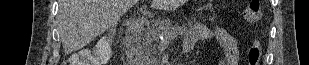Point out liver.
Wrapping results in <instances>:
<instances>
[{
  "label": "liver",
  "mask_w": 309,
  "mask_h": 65,
  "mask_svg": "<svg viewBox=\"0 0 309 65\" xmlns=\"http://www.w3.org/2000/svg\"><path fill=\"white\" fill-rule=\"evenodd\" d=\"M138 0H60L58 30L65 53L82 49L116 25ZM184 0H152L153 9L173 10Z\"/></svg>",
  "instance_id": "obj_1"
}]
</instances>
